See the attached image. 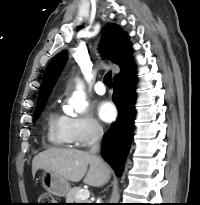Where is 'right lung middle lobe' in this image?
I'll return each instance as SVG.
<instances>
[{
    "label": "right lung middle lobe",
    "mask_w": 200,
    "mask_h": 205,
    "mask_svg": "<svg viewBox=\"0 0 200 205\" xmlns=\"http://www.w3.org/2000/svg\"><path fill=\"white\" fill-rule=\"evenodd\" d=\"M46 101H47V99H43V100L37 102L35 113L33 116V121L39 117V114H40L41 110L43 109V107L45 106Z\"/></svg>",
    "instance_id": "dd1d6c3e"
}]
</instances>
